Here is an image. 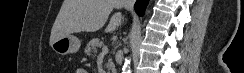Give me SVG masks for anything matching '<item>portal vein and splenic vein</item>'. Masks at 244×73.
<instances>
[{
    "mask_svg": "<svg viewBox=\"0 0 244 73\" xmlns=\"http://www.w3.org/2000/svg\"><path fill=\"white\" fill-rule=\"evenodd\" d=\"M108 53V48L106 46H103L102 52L100 53L101 55H105Z\"/></svg>",
    "mask_w": 244,
    "mask_h": 73,
    "instance_id": "18ae733b",
    "label": "portal vein and splenic vein"
}]
</instances>
